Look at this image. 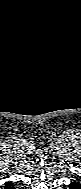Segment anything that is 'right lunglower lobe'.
<instances>
[{"instance_id":"98d812e1","label":"right lung lower lobe","mask_w":81,"mask_h":189,"mask_svg":"<svg viewBox=\"0 0 81 189\" xmlns=\"http://www.w3.org/2000/svg\"><path fill=\"white\" fill-rule=\"evenodd\" d=\"M15 185H16V183L9 182V183L5 184L4 188L5 189H17V187Z\"/></svg>"}]
</instances>
